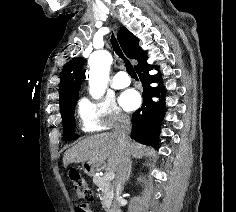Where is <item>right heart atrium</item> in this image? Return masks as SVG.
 Masks as SVG:
<instances>
[{
    "label": "right heart atrium",
    "instance_id": "d8ad5b80",
    "mask_svg": "<svg viewBox=\"0 0 236 212\" xmlns=\"http://www.w3.org/2000/svg\"><path fill=\"white\" fill-rule=\"evenodd\" d=\"M78 115L85 133L113 129L129 119L113 97L97 101L82 99L78 106Z\"/></svg>",
    "mask_w": 236,
    "mask_h": 212
}]
</instances>
